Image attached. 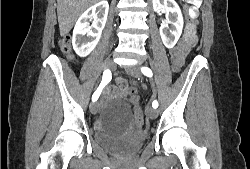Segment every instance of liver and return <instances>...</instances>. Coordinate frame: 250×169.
Masks as SVG:
<instances>
[{
	"instance_id": "6515ba94",
	"label": "liver",
	"mask_w": 250,
	"mask_h": 169,
	"mask_svg": "<svg viewBox=\"0 0 250 169\" xmlns=\"http://www.w3.org/2000/svg\"><path fill=\"white\" fill-rule=\"evenodd\" d=\"M98 0H57V14L61 36H66L81 12Z\"/></svg>"
}]
</instances>
